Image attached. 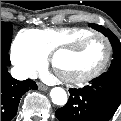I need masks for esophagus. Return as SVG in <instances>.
<instances>
[{
	"mask_svg": "<svg viewBox=\"0 0 121 121\" xmlns=\"http://www.w3.org/2000/svg\"><path fill=\"white\" fill-rule=\"evenodd\" d=\"M40 88L42 89V90H47L48 88L47 87H45V86H40Z\"/></svg>",
	"mask_w": 121,
	"mask_h": 121,
	"instance_id": "esophagus-1",
	"label": "esophagus"
}]
</instances>
